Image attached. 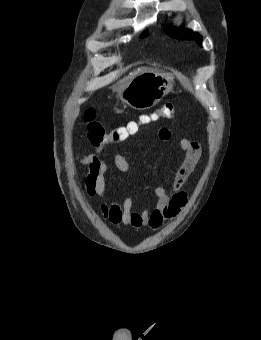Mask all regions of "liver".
<instances>
[{
	"mask_svg": "<svg viewBox=\"0 0 261 340\" xmlns=\"http://www.w3.org/2000/svg\"><path fill=\"white\" fill-rule=\"evenodd\" d=\"M148 68H138L137 70L131 72L127 77H124L122 80L119 81V85H125L128 82H130L134 77H136L138 74L143 73L145 71H149Z\"/></svg>",
	"mask_w": 261,
	"mask_h": 340,
	"instance_id": "1",
	"label": "liver"
}]
</instances>
